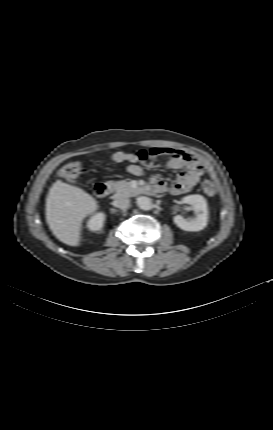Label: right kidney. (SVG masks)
Returning <instances> with one entry per match:
<instances>
[{
	"label": "right kidney",
	"instance_id": "1",
	"mask_svg": "<svg viewBox=\"0 0 273 430\" xmlns=\"http://www.w3.org/2000/svg\"><path fill=\"white\" fill-rule=\"evenodd\" d=\"M105 221V215L103 213H97L88 222V227L92 231H98L103 227Z\"/></svg>",
	"mask_w": 273,
	"mask_h": 430
}]
</instances>
